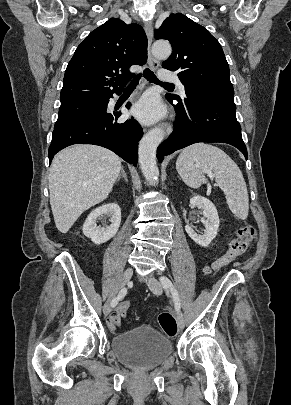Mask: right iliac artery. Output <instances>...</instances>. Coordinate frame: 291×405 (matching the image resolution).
<instances>
[{
	"mask_svg": "<svg viewBox=\"0 0 291 405\" xmlns=\"http://www.w3.org/2000/svg\"><path fill=\"white\" fill-rule=\"evenodd\" d=\"M126 293H127V289H126V288H123V289L118 293V295L113 299V301H112V306L115 307V306L118 304V302H119L121 299L124 298V296L126 295Z\"/></svg>",
	"mask_w": 291,
	"mask_h": 405,
	"instance_id": "right-iliac-artery-1",
	"label": "right iliac artery"
}]
</instances>
